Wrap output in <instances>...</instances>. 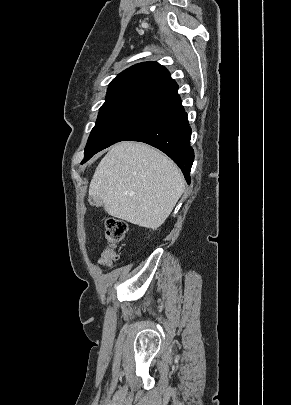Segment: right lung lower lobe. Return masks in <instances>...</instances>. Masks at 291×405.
Instances as JSON below:
<instances>
[{
    "label": "right lung lower lobe",
    "mask_w": 291,
    "mask_h": 405,
    "mask_svg": "<svg viewBox=\"0 0 291 405\" xmlns=\"http://www.w3.org/2000/svg\"><path fill=\"white\" fill-rule=\"evenodd\" d=\"M190 139L191 128L187 113L179 99L166 113L126 140L144 142L163 151L180 167L189 184L190 170L194 161Z\"/></svg>",
    "instance_id": "98d812e1"
}]
</instances>
